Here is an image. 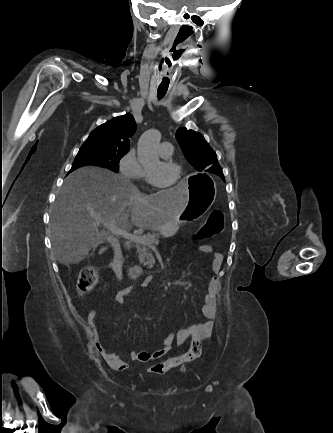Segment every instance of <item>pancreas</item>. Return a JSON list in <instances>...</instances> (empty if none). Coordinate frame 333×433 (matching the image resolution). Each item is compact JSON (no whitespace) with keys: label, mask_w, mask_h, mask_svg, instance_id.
Instances as JSON below:
<instances>
[{"label":"pancreas","mask_w":333,"mask_h":433,"mask_svg":"<svg viewBox=\"0 0 333 433\" xmlns=\"http://www.w3.org/2000/svg\"><path fill=\"white\" fill-rule=\"evenodd\" d=\"M148 240L147 243H138L135 242V247L137 249L136 253L139 257V262L144 266L147 264L146 256L148 254V248H152L159 244V236L156 233H149L145 236Z\"/></svg>","instance_id":"cf45deb5"}]
</instances>
